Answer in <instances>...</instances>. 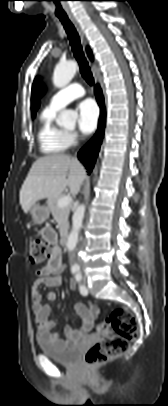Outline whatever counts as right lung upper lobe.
<instances>
[{"label":"right lung upper lobe","mask_w":168,"mask_h":406,"mask_svg":"<svg viewBox=\"0 0 168 406\" xmlns=\"http://www.w3.org/2000/svg\"><path fill=\"white\" fill-rule=\"evenodd\" d=\"M87 52H88L89 58L92 59V53L89 48H87ZM37 108H38V105L34 108L33 115H35Z\"/></svg>","instance_id":"cb5924a9"}]
</instances>
